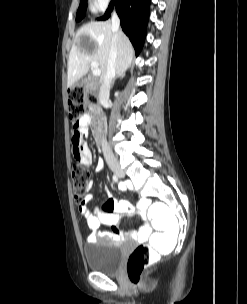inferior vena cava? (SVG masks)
Segmentation results:
<instances>
[{"mask_svg": "<svg viewBox=\"0 0 247 304\" xmlns=\"http://www.w3.org/2000/svg\"><path fill=\"white\" fill-rule=\"evenodd\" d=\"M119 26H120V20L117 16V14L114 12L112 15V30H113V36H112V42L109 52V58L107 63V69L106 73L103 75L101 80V86L99 90V102L103 105L107 100L109 99L110 94V88L113 78L115 77L116 73V59H117V39H118V33H119ZM102 151L104 154V157L111 167L117 166V161L106 141V139L103 138L102 140Z\"/></svg>", "mask_w": 247, "mask_h": 304, "instance_id": "602c4592", "label": "inferior vena cava"}]
</instances>
